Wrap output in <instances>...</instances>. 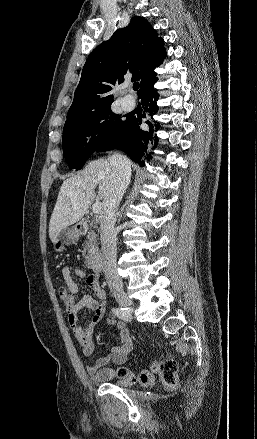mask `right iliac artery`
Segmentation results:
<instances>
[{
    "mask_svg": "<svg viewBox=\"0 0 257 439\" xmlns=\"http://www.w3.org/2000/svg\"><path fill=\"white\" fill-rule=\"evenodd\" d=\"M112 311L120 319L125 321H129L131 319V315L127 308H113Z\"/></svg>",
    "mask_w": 257,
    "mask_h": 439,
    "instance_id": "82829eb1",
    "label": "right iliac artery"
}]
</instances>
